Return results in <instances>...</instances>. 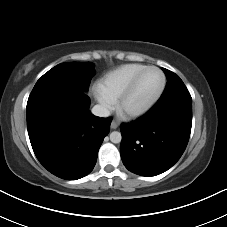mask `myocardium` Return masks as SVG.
Returning a JSON list of instances; mask_svg holds the SVG:
<instances>
[{"mask_svg": "<svg viewBox=\"0 0 227 227\" xmlns=\"http://www.w3.org/2000/svg\"><path fill=\"white\" fill-rule=\"evenodd\" d=\"M154 69L160 72L162 76V84L158 92L146 103L143 105L136 107V108H129L127 106L128 100L133 95L134 91L136 90L142 76L149 70ZM167 84L166 75L163 72V70L157 66H146L144 69H142L132 80V82L129 84V86L126 88V90L123 92V94L120 96L118 101V108L119 110L129 118H137L144 114H146L161 98L163 95L165 88Z\"/></svg>", "mask_w": 227, "mask_h": 227, "instance_id": "1", "label": "myocardium"}]
</instances>
